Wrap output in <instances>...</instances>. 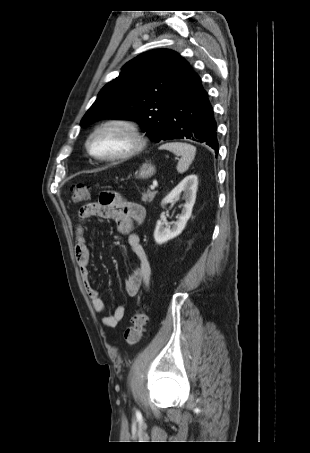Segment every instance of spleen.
<instances>
[{"label":"spleen","mask_w":310,"mask_h":453,"mask_svg":"<svg viewBox=\"0 0 310 453\" xmlns=\"http://www.w3.org/2000/svg\"><path fill=\"white\" fill-rule=\"evenodd\" d=\"M159 149L168 150L177 156H181L177 164V171L179 173H184L188 170L196 154L195 146L182 142L166 143L161 145Z\"/></svg>","instance_id":"spleen-1"}]
</instances>
